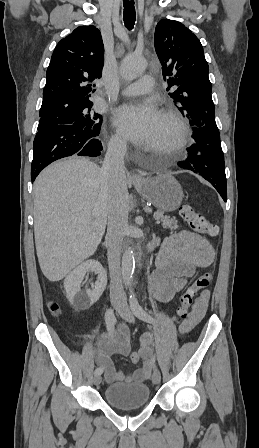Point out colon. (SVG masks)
Listing matches in <instances>:
<instances>
[{"label":"colon","mask_w":259,"mask_h":448,"mask_svg":"<svg viewBox=\"0 0 259 448\" xmlns=\"http://www.w3.org/2000/svg\"><path fill=\"white\" fill-rule=\"evenodd\" d=\"M181 217L189 224L190 228L198 233L215 236L218 233L217 226L212 224L203 213L194 209L190 204H183L179 208ZM213 278L212 272H206L200 275L179 297L176 309V319L178 322H185L190 316V309L199 293L206 290L211 284ZM48 309L53 315H59L60 307L55 302H50ZM132 363H138L140 355L132 353L130 355Z\"/></svg>","instance_id":"1"}]
</instances>
